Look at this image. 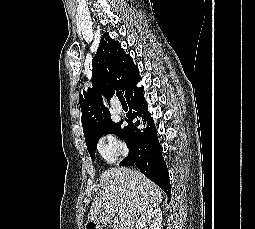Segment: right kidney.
Segmentation results:
<instances>
[{"mask_svg": "<svg viewBox=\"0 0 255 229\" xmlns=\"http://www.w3.org/2000/svg\"><path fill=\"white\" fill-rule=\"evenodd\" d=\"M152 222L150 227L147 223ZM162 211L160 208H151L144 212L136 222L137 229H161Z\"/></svg>", "mask_w": 255, "mask_h": 229, "instance_id": "right-kidney-1", "label": "right kidney"}]
</instances>
